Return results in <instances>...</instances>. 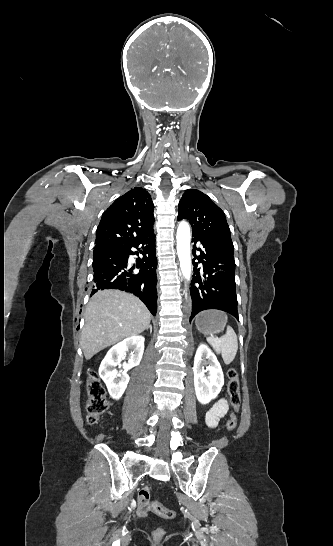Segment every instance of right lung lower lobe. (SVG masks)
I'll list each match as a JSON object with an SVG mask.
<instances>
[{
  "label": "right lung lower lobe",
  "instance_id": "98d812e1",
  "mask_svg": "<svg viewBox=\"0 0 333 546\" xmlns=\"http://www.w3.org/2000/svg\"><path fill=\"white\" fill-rule=\"evenodd\" d=\"M154 231L128 238L108 239L95 244L93 256L94 289H119L137 296L155 315L157 312L156 250ZM138 251H133L132 248ZM141 249V250H140ZM142 254L136 265L129 256ZM137 268V269H136Z\"/></svg>",
  "mask_w": 333,
  "mask_h": 546
}]
</instances>
